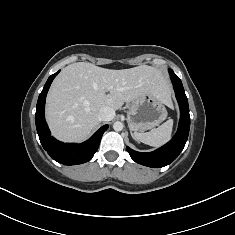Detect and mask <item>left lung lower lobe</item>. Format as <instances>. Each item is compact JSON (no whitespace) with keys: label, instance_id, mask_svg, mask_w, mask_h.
I'll return each instance as SVG.
<instances>
[{"label":"left lung lower lobe","instance_id":"left-lung-lower-lobe-1","mask_svg":"<svg viewBox=\"0 0 235 235\" xmlns=\"http://www.w3.org/2000/svg\"><path fill=\"white\" fill-rule=\"evenodd\" d=\"M169 74L180 107V121L177 133L170 142L153 152H137L127 147V151L135 162L148 167H164L173 162L184 148L189 134L190 115L188 100L181 80L171 69H169Z\"/></svg>","mask_w":235,"mask_h":235}]
</instances>
